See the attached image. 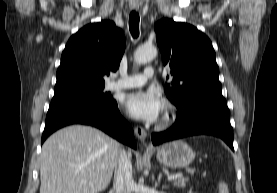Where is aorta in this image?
<instances>
[{"label":"aorta","mask_w":277,"mask_h":193,"mask_svg":"<svg viewBox=\"0 0 277 193\" xmlns=\"http://www.w3.org/2000/svg\"><path fill=\"white\" fill-rule=\"evenodd\" d=\"M157 55V49L154 46L139 47L134 53V61L137 64H145L152 61Z\"/></svg>","instance_id":"obj_1"}]
</instances>
